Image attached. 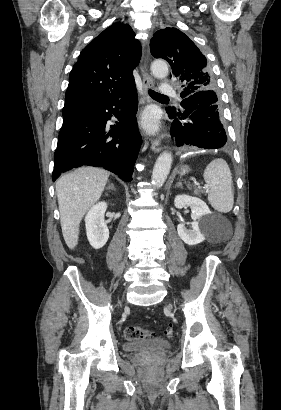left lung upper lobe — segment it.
I'll use <instances>...</instances> for the list:
<instances>
[{"label":"left lung upper lobe","instance_id":"obj_1","mask_svg":"<svg viewBox=\"0 0 281 410\" xmlns=\"http://www.w3.org/2000/svg\"><path fill=\"white\" fill-rule=\"evenodd\" d=\"M151 54L171 66L170 77L182 84L181 97L203 90H215L216 84L205 56L183 32L167 27L157 31L150 41ZM175 110L174 107L168 108Z\"/></svg>","mask_w":281,"mask_h":410}]
</instances>
